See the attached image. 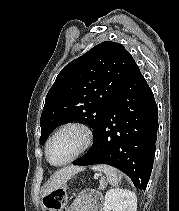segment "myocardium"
<instances>
[{
    "mask_svg": "<svg viewBox=\"0 0 179 211\" xmlns=\"http://www.w3.org/2000/svg\"><path fill=\"white\" fill-rule=\"evenodd\" d=\"M66 130H76L80 133L81 135V144L77 151L66 161L59 163V164H54L50 161L49 156H48V150L51 142L53 139L59 135L60 133L66 131ZM93 142V133L91 128L84 122L81 121H69L61 126H59L48 138L46 145H45V157L47 162L54 166V167H62L65 165L70 164L73 162L75 159H77L79 156H81L84 152H86L90 146L92 145Z\"/></svg>",
    "mask_w": 179,
    "mask_h": 211,
    "instance_id": "1",
    "label": "myocardium"
}]
</instances>
